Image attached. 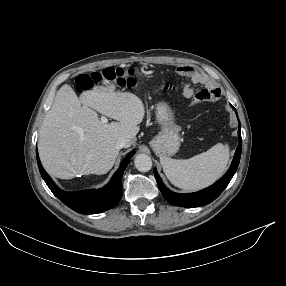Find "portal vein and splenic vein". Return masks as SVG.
<instances>
[{
  "label": "portal vein and splenic vein",
  "mask_w": 286,
  "mask_h": 286,
  "mask_svg": "<svg viewBox=\"0 0 286 286\" xmlns=\"http://www.w3.org/2000/svg\"><path fill=\"white\" fill-rule=\"evenodd\" d=\"M101 122H102V123H107V122H108V119H107L105 116H102V117H101Z\"/></svg>",
  "instance_id": "18ae733b"
}]
</instances>
